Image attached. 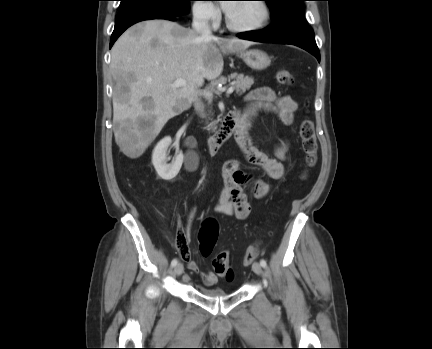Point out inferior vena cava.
Returning a JSON list of instances; mask_svg holds the SVG:
<instances>
[{
	"instance_id": "inferior-vena-cava-1",
	"label": "inferior vena cava",
	"mask_w": 432,
	"mask_h": 349,
	"mask_svg": "<svg viewBox=\"0 0 432 349\" xmlns=\"http://www.w3.org/2000/svg\"><path fill=\"white\" fill-rule=\"evenodd\" d=\"M192 28L204 38H212V32L209 26V15L206 10L200 9L193 13ZM195 108L197 111H203V105L196 97Z\"/></svg>"
}]
</instances>
